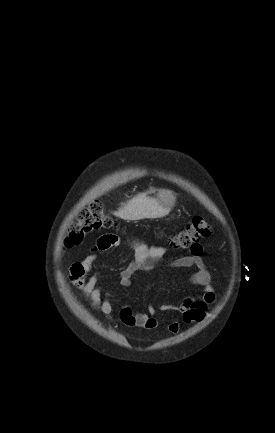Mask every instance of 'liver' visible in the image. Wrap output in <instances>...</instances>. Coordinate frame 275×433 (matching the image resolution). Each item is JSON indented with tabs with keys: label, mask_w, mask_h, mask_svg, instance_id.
Here are the masks:
<instances>
[{
	"label": "liver",
	"mask_w": 275,
	"mask_h": 433,
	"mask_svg": "<svg viewBox=\"0 0 275 433\" xmlns=\"http://www.w3.org/2000/svg\"><path fill=\"white\" fill-rule=\"evenodd\" d=\"M169 210L163 209L157 198L150 197L146 193L138 194L121 207L114 215L124 220H140L144 218L163 217Z\"/></svg>",
	"instance_id": "1"
}]
</instances>
